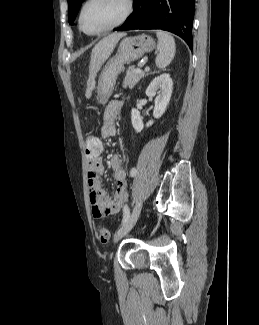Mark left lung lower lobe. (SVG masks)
<instances>
[{
    "instance_id": "0a47b994",
    "label": "left lung lower lobe",
    "mask_w": 259,
    "mask_h": 325,
    "mask_svg": "<svg viewBox=\"0 0 259 325\" xmlns=\"http://www.w3.org/2000/svg\"><path fill=\"white\" fill-rule=\"evenodd\" d=\"M133 3L131 16L114 30L161 29L180 36L192 48L195 0H134Z\"/></svg>"
}]
</instances>
